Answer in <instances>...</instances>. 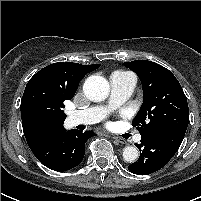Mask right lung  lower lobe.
Masks as SVG:
<instances>
[{"label": "right lung lower lobe", "mask_w": 201, "mask_h": 201, "mask_svg": "<svg viewBox=\"0 0 201 201\" xmlns=\"http://www.w3.org/2000/svg\"><path fill=\"white\" fill-rule=\"evenodd\" d=\"M92 132L63 130L30 146L35 157L46 167L55 171H67L79 165L84 157L86 141Z\"/></svg>", "instance_id": "right-lung-lower-lobe-1"}]
</instances>
